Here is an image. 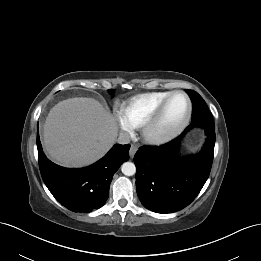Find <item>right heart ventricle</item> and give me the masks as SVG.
I'll return each mask as SVG.
<instances>
[{
  "mask_svg": "<svg viewBox=\"0 0 261 261\" xmlns=\"http://www.w3.org/2000/svg\"><path fill=\"white\" fill-rule=\"evenodd\" d=\"M170 93L160 91L140 94L124 103L121 113L128 126L132 129L143 127Z\"/></svg>",
  "mask_w": 261,
  "mask_h": 261,
  "instance_id": "1",
  "label": "right heart ventricle"
}]
</instances>
